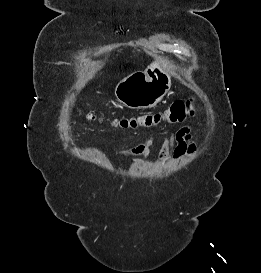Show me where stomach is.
Here are the masks:
<instances>
[{
  "label": "stomach",
  "instance_id": "1",
  "mask_svg": "<svg viewBox=\"0 0 261 273\" xmlns=\"http://www.w3.org/2000/svg\"><path fill=\"white\" fill-rule=\"evenodd\" d=\"M170 87L168 64L162 59H156L145 71L133 72L122 79L115 88V95L126 107L145 109L161 101Z\"/></svg>",
  "mask_w": 261,
  "mask_h": 273
}]
</instances>
